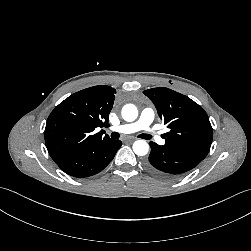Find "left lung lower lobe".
<instances>
[{"instance_id": "0a47b994", "label": "left lung lower lobe", "mask_w": 251, "mask_h": 251, "mask_svg": "<svg viewBox=\"0 0 251 251\" xmlns=\"http://www.w3.org/2000/svg\"><path fill=\"white\" fill-rule=\"evenodd\" d=\"M151 153L145 165L161 179L173 180L196 167L203 159L191 153L150 142Z\"/></svg>"}]
</instances>
